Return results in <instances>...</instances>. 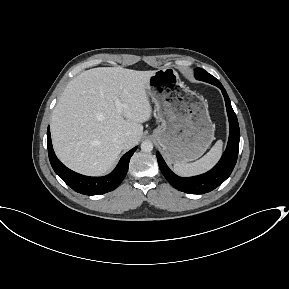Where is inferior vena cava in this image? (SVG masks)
I'll return each instance as SVG.
<instances>
[{
	"label": "inferior vena cava",
	"mask_w": 289,
	"mask_h": 289,
	"mask_svg": "<svg viewBox=\"0 0 289 289\" xmlns=\"http://www.w3.org/2000/svg\"><path fill=\"white\" fill-rule=\"evenodd\" d=\"M127 142H128V138L125 137V136L120 137V138L117 140V143H118L119 146H121V147H124Z\"/></svg>",
	"instance_id": "obj_1"
}]
</instances>
